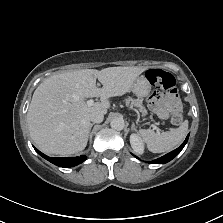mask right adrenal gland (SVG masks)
<instances>
[{
	"label": "right adrenal gland",
	"instance_id": "1",
	"mask_svg": "<svg viewBox=\"0 0 223 223\" xmlns=\"http://www.w3.org/2000/svg\"><path fill=\"white\" fill-rule=\"evenodd\" d=\"M95 125V123H91L90 124V129H89V133L91 132L92 127Z\"/></svg>",
	"mask_w": 223,
	"mask_h": 223
}]
</instances>
